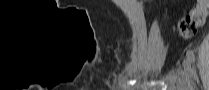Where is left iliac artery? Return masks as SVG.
<instances>
[{"instance_id": "obj_1", "label": "left iliac artery", "mask_w": 209, "mask_h": 90, "mask_svg": "<svg viewBox=\"0 0 209 90\" xmlns=\"http://www.w3.org/2000/svg\"><path fill=\"white\" fill-rule=\"evenodd\" d=\"M187 57L189 60H191L192 62H195V55H194V52L193 50L189 49L187 51Z\"/></svg>"}]
</instances>
